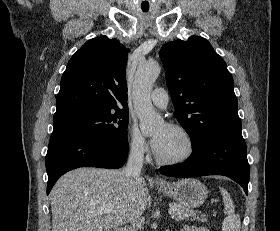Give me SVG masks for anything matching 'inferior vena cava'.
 <instances>
[{
    "mask_svg": "<svg viewBox=\"0 0 280 231\" xmlns=\"http://www.w3.org/2000/svg\"><path fill=\"white\" fill-rule=\"evenodd\" d=\"M143 155L142 143L133 141L131 143L127 165L123 169L126 177H139L143 165ZM124 231H133V229H126L125 227Z\"/></svg>",
    "mask_w": 280,
    "mask_h": 231,
    "instance_id": "inferior-vena-cava-1",
    "label": "inferior vena cava"
}]
</instances>
